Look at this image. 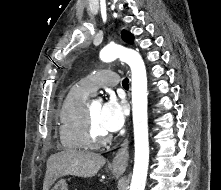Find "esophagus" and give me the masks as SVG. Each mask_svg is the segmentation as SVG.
Wrapping results in <instances>:
<instances>
[{
  "mask_svg": "<svg viewBox=\"0 0 221 190\" xmlns=\"http://www.w3.org/2000/svg\"><path fill=\"white\" fill-rule=\"evenodd\" d=\"M128 146L129 141L125 139L112 160L111 167L114 170L123 172L126 169L129 160Z\"/></svg>",
  "mask_w": 221,
  "mask_h": 190,
  "instance_id": "esophagus-1",
  "label": "esophagus"
}]
</instances>
